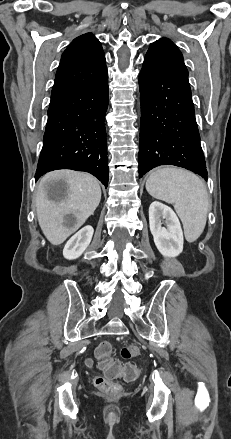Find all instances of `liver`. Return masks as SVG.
Wrapping results in <instances>:
<instances>
[{
  "label": "liver",
  "mask_w": 231,
  "mask_h": 439,
  "mask_svg": "<svg viewBox=\"0 0 231 439\" xmlns=\"http://www.w3.org/2000/svg\"><path fill=\"white\" fill-rule=\"evenodd\" d=\"M64 181L65 189L57 195L50 190V183ZM101 200V188L98 180L90 174L55 170L45 174L35 196L39 225L47 240L53 245L62 244L79 229L91 216ZM72 214L73 226L65 224L64 217Z\"/></svg>",
  "instance_id": "1"
}]
</instances>
